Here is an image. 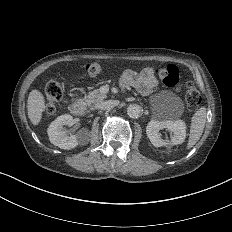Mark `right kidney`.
Returning a JSON list of instances; mask_svg holds the SVG:
<instances>
[{
  "label": "right kidney",
  "mask_w": 232,
  "mask_h": 232,
  "mask_svg": "<svg viewBox=\"0 0 232 232\" xmlns=\"http://www.w3.org/2000/svg\"><path fill=\"white\" fill-rule=\"evenodd\" d=\"M73 117L65 114L57 117L47 129L49 140L55 146L61 149H72L77 145H86L89 142V137L78 132L76 135H71L63 129L64 125H71Z\"/></svg>",
  "instance_id": "obj_1"
}]
</instances>
